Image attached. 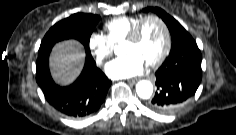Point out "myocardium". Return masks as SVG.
I'll list each match as a JSON object with an SVG mask.
<instances>
[{"mask_svg":"<svg viewBox=\"0 0 236 135\" xmlns=\"http://www.w3.org/2000/svg\"><path fill=\"white\" fill-rule=\"evenodd\" d=\"M150 19L156 20L161 25V27L164 31V38H165L164 47H163L160 55L154 61L147 63L148 67H157L165 60L166 56L169 53L170 46H171V36H170L169 28H168L166 22L160 16L155 15V14H149V15H146L143 18H141L135 24V26L132 28L129 36L124 40L123 43L124 44L135 43L138 40V37L140 35V31H141L143 24L147 20H150Z\"/></svg>","mask_w":236,"mask_h":135,"instance_id":"myocardium-1","label":"myocardium"}]
</instances>
